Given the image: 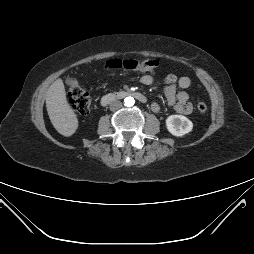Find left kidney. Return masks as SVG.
<instances>
[{
  "label": "left kidney",
  "mask_w": 254,
  "mask_h": 254,
  "mask_svg": "<svg viewBox=\"0 0 254 254\" xmlns=\"http://www.w3.org/2000/svg\"><path fill=\"white\" fill-rule=\"evenodd\" d=\"M166 127L172 135L181 137L192 131L193 123L183 115H170L166 119Z\"/></svg>",
  "instance_id": "obj_1"
}]
</instances>
